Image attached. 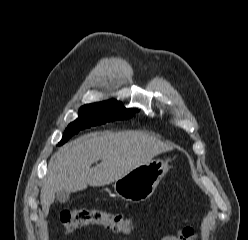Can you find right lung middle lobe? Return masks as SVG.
Returning a JSON list of instances; mask_svg holds the SVG:
<instances>
[{
    "label": "right lung middle lobe",
    "instance_id": "obj_1",
    "mask_svg": "<svg viewBox=\"0 0 248 240\" xmlns=\"http://www.w3.org/2000/svg\"><path fill=\"white\" fill-rule=\"evenodd\" d=\"M137 109H126L121 102L108 100L84 105L79 110V117L66 128L60 145L79 132V130L101 125L109 121L128 119Z\"/></svg>",
    "mask_w": 248,
    "mask_h": 240
}]
</instances>
